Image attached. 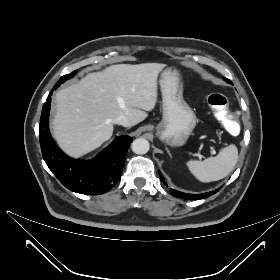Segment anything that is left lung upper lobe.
I'll use <instances>...</instances> for the list:
<instances>
[{"instance_id":"1","label":"left lung upper lobe","mask_w":280,"mask_h":280,"mask_svg":"<svg viewBox=\"0 0 280 280\" xmlns=\"http://www.w3.org/2000/svg\"><path fill=\"white\" fill-rule=\"evenodd\" d=\"M224 80H225L226 82H228V83H231V81H230L229 79H227V78H224Z\"/></svg>"}]
</instances>
